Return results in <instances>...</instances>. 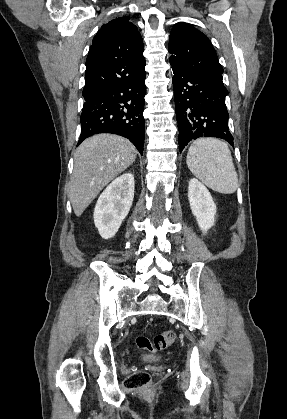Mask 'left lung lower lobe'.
<instances>
[{
    "instance_id": "1",
    "label": "left lung lower lobe",
    "mask_w": 287,
    "mask_h": 419,
    "mask_svg": "<svg viewBox=\"0 0 287 419\" xmlns=\"http://www.w3.org/2000/svg\"><path fill=\"white\" fill-rule=\"evenodd\" d=\"M172 69L179 150L182 151L190 141L201 137H217L233 145L225 105L228 91L222 76Z\"/></svg>"
}]
</instances>
